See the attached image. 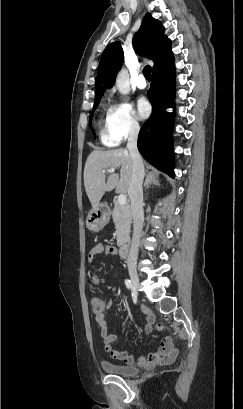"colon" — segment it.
I'll list each match as a JSON object with an SVG mask.
<instances>
[{
	"mask_svg": "<svg viewBox=\"0 0 243 409\" xmlns=\"http://www.w3.org/2000/svg\"><path fill=\"white\" fill-rule=\"evenodd\" d=\"M91 307L94 313L101 312L104 308L103 300L101 298H94L91 302ZM158 328L162 329L163 326L159 325Z\"/></svg>",
	"mask_w": 243,
	"mask_h": 409,
	"instance_id": "colon-1",
	"label": "colon"
}]
</instances>
